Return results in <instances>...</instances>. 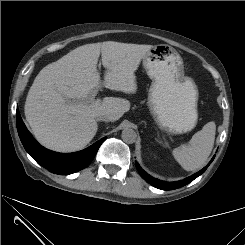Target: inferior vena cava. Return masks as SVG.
I'll return each instance as SVG.
<instances>
[{
  "label": "inferior vena cava",
  "mask_w": 245,
  "mask_h": 245,
  "mask_svg": "<svg viewBox=\"0 0 245 245\" xmlns=\"http://www.w3.org/2000/svg\"><path fill=\"white\" fill-rule=\"evenodd\" d=\"M96 121H105V122H108V121H110V118L107 115L101 114V115H98L96 117Z\"/></svg>",
  "instance_id": "inferior-vena-cava-1"
}]
</instances>
